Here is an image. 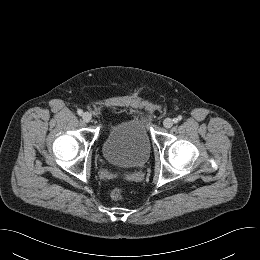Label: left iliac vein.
<instances>
[{
    "label": "left iliac vein",
    "mask_w": 260,
    "mask_h": 260,
    "mask_svg": "<svg viewBox=\"0 0 260 260\" xmlns=\"http://www.w3.org/2000/svg\"><path fill=\"white\" fill-rule=\"evenodd\" d=\"M172 125H173V121H172V119H170V118H166V119L163 121V126H164L165 128H171Z\"/></svg>",
    "instance_id": "left-iliac-vein-1"
}]
</instances>
